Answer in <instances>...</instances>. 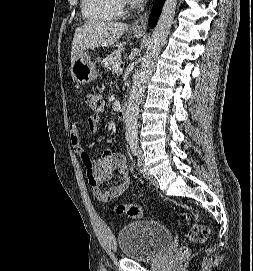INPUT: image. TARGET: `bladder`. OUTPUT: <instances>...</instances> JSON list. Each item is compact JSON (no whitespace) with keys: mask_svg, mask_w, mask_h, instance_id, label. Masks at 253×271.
Segmentation results:
<instances>
[{"mask_svg":"<svg viewBox=\"0 0 253 271\" xmlns=\"http://www.w3.org/2000/svg\"><path fill=\"white\" fill-rule=\"evenodd\" d=\"M171 239V230L155 220L128 223L117 233L122 256L138 261L156 259L166 249Z\"/></svg>","mask_w":253,"mask_h":271,"instance_id":"31cf9c89","label":"bladder"}]
</instances>
